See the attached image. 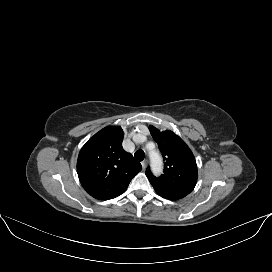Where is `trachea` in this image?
<instances>
[{
    "label": "trachea",
    "instance_id": "obj_1",
    "mask_svg": "<svg viewBox=\"0 0 272 272\" xmlns=\"http://www.w3.org/2000/svg\"><path fill=\"white\" fill-rule=\"evenodd\" d=\"M134 157L137 161H142L144 159V152L143 150H137L135 153H134Z\"/></svg>",
    "mask_w": 272,
    "mask_h": 272
}]
</instances>
